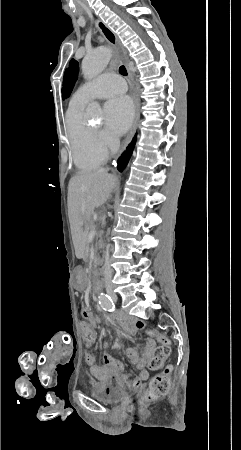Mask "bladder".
I'll return each mask as SVG.
<instances>
[{
  "label": "bladder",
  "mask_w": 241,
  "mask_h": 450,
  "mask_svg": "<svg viewBox=\"0 0 241 450\" xmlns=\"http://www.w3.org/2000/svg\"><path fill=\"white\" fill-rule=\"evenodd\" d=\"M93 395L100 401L114 402L125 397L126 389L119 383L110 382L95 389Z\"/></svg>",
  "instance_id": "obj_1"
}]
</instances>
